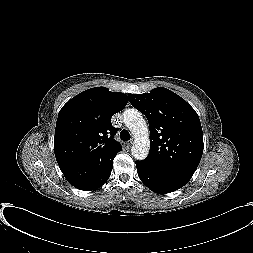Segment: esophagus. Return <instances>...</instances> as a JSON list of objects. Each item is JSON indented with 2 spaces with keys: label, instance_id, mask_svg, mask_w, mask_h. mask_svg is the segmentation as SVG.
I'll return each instance as SVG.
<instances>
[{
  "label": "esophagus",
  "instance_id": "obj_1",
  "mask_svg": "<svg viewBox=\"0 0 253 253\" xmlns=\"http://www.w3.org/2000/svg\"><path fill=\"white\" fill-rule=\"evenodd\" d=\"M132 144H133V140L129 141V142L127 143V146H128V147H131Z\"/></svg>",
  "mask_w": 253,
  "mask_h": 253
}]
</instances>
